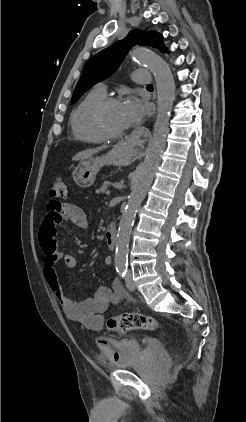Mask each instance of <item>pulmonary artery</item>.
I'll list each match as a JSON object with an SVG mask.
<instances>
[{
  "label": "pulmonary artery",
  "instance_id": "pulmonary-artery-1",
  "mask_svg": "<svg viewBox=\"0 0 246 422\" xmlns=\"http://www.w3.org/2000/svg\"><path fill=\"white\" fill-rule=\"evenodd\" d=\"M133 80L139 84H148L150 82V73L145 69H137L133 72ZM98 88L105 92L104 85L100 84Z\"/></svg>",
  "mask_w": 246,
  "mask_h": 422
}]
</instances>
